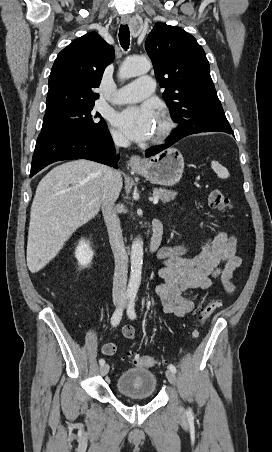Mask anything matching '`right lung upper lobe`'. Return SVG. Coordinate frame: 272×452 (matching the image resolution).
Returning a JSON list of instances; mask_svg holds the SVG:
<instances>
[{"mask_svg": "<svg viewBox=\"0 0 272 452\" xmlns=\"http://www.w3.org/2000/svg\"><path fill=\"white\" fill-rule=\"evenodd\" d=\"M114 48L96 32L63 49L49 76L46 114L94 104L103 72L114 59Z\"/></svg>", "mask_w": 272, "mask_h": 452, "instance_id": "right-lung-upper-lobe-1", "label": "right lung upper lobe"}]
</instances>
